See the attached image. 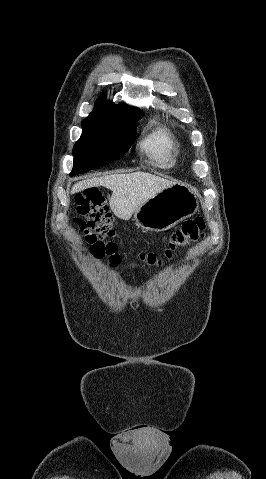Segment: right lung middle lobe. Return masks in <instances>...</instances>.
Returning a JSON list of instances; mask_svg holds the SVG:
<instances>
[{"label":"right lung middle lobe","mask_w":266,"mask_h":479,"mask_svg":"<svg viewBox=\"0 0 266 479\" xmlns=\"http://www.w3.org/2000/svg\"><path fill=\"white\" fill-rule=\"evenodd\" d=\"M137 121H83L82 135L73 147L74 164L70 175L87 172L122 157L131 147Z\"/></svg>","instance_id":"right-lung-middle-lobe-1"}]
</instances>
